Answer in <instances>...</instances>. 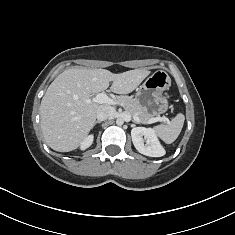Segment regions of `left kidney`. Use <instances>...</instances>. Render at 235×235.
Returning <instances> with one entry per match:
<instances>
[{
  "mask_svg": "<svg viewBox=\"0 0 235 235\" xmlns=\"http://www.w3.org/2000/svg\"><path fill=\"white\" fill-rule=\"evenodd\" d=\"M131 137L139 153L150 157H161L165 155V150L152 128L135 127L131 130ZM144 140L146 144H144Z\"/></svg>",
  "mask_w": 235,
  "mask_h": 235,
  "instance_id": "5707ae66",
  "label": "left kidney"
}]
</instances>
